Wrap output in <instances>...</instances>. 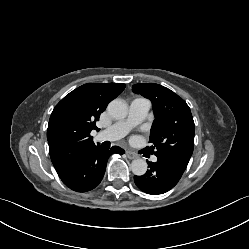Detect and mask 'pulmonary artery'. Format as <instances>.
Segmentation results:
<instances>
[{"label":"pulmonary artery","mask_w":249,"mask_h":249,"mask_svg":"<svg viewBox=\"0 0 249 249\" xmlns=\"http://www.w3.org/2000/svg\"><path fill=\"white\" fill-rule=\"evenodd\" d=\"M151 107L149 100L145 98H135L129 105L127 118L116 122L112 126L99 132L97 138L99 141H115L123 138L136 125L141 123L147 116ZM156 162L157 157H152Z\"/></svg>","instance_id":"obj_1"}]
</instances>
